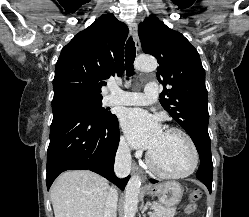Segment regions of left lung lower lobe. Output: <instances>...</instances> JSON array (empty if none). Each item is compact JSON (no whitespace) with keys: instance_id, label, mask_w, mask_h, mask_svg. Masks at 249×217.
<instances>
[{"instance_id":"obj_1","label":"left lung lower lobe","mask_w":249,"mask_h":217,"mask_svg":"<svg viewBox=\"0 0 249 217\" xmlns=\"http://www.w3.org/2000/svg\"><path fill=\"white\" fill-rule=\"evenodd\" d=\"M200 155V166L196 173V177L202 181L209 192L212 191V173H213V164L211 159V149L204 148L198 151ZM152 183L158 182L157 180L151 179Z\"/></svg>"}]
</instances>
